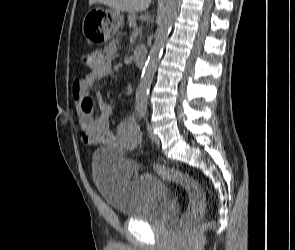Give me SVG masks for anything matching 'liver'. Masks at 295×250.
I'll return each instance as SVG.
<instances>
[{
  "mask_svg": "<svg viewBox=\"0 0 295 250\" xmlns=\"http://www.w3.org/2000/svg\"><path fill=\"white\" fill-rule=\"evenodd\" d=\"M101 3L118 12L136 13L146 10L151 0H89V4Z\"/></svg>",
  "mask_w": 295,
  "mask_h": 250,
  "instance_id": "liver-1",
  "label": "liver"
}]
</instances>
